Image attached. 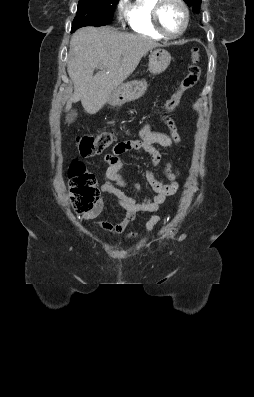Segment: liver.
<instances>
[{"instance_id":"1","label":"liver","mask_w":254,"mask_h":397,"mask_svg":"<svg viewBox=\"0 0 254 397\" xmlns=\"http://www.w3.org/2000/svg\"><path fill=\"white\" fill-rule=\"evenodd\" d=\"M158 46L150 38L111 27L78 29L70 41L67 71L74 93L66 109L81 100L87 113L96 114L109 101L112 91L133 73L141 58ZM99 66L101 70L93 76Z\"/></svg>"}]
</instances>
